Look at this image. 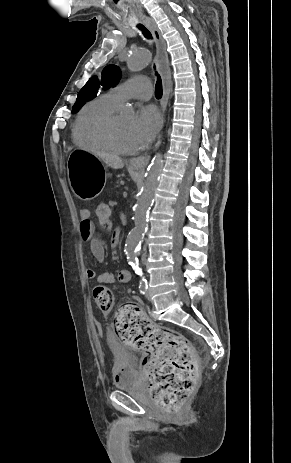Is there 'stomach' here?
<instances>
[{
    "instance_id": "0dacf381",
    "label": "stomach",
    "mask_w": 291,
    "mask_h": 463,
    "mask_svg": "<svg viewBox=\"0 0 291 463\" xmlns=\"http://www.w3.org/2000/svg\"><path fill=\"white\" fill-rule=\"evenodd\" d=\"M67 173L73 193L81 200H92L102 190L104 170L94 154L77 149L69 154Z\"/></svg>"
}]
</instances>
